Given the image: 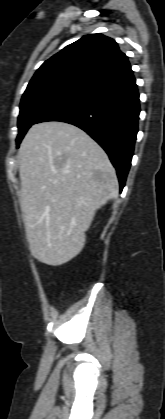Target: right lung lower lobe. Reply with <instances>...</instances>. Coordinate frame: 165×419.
<instances>
[{"label": "right lung lower lobe", "mask_w": 165, "mask_h": 419, "mask_svg": "<svg viewBox=\"0 0 165 419\" xmlns=\"http://www.w3.org/2000/svg\"><path fill=\"white\" fill-rule=\"evenodd\" d=\"M139 93L133 72L48 112L37 123L62 121L87 132L109 155L122 191L138 132Z\"/></svg>", "instance_id": "right-lung-lower-lobe-1"}]
</instances>
